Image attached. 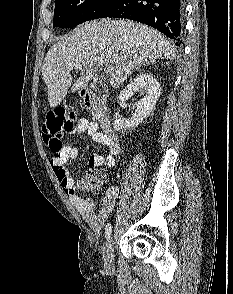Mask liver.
<instances>
[{
	"label": "liver",
	"instance_id": "6515ba94",
	"mask_svg": "<svg viewBox=\"0 0 233 294\" xmlns=\"http://www.w3.org/2000/svg\"><path fill=\"white\" fill-rule=\"evenodd\" d=\"M157 59H176V49L157 30L129 20L86 22L58 39L44 59L42 78L50 107H57L66 97L73 81L71 71L77 65L82 70L72 93L87 87L95 67H113L109 82L120 87L135 69Z\"/></svg>",
	"mask_w": 233,
	"mask_h": 294
}]
</instances>
